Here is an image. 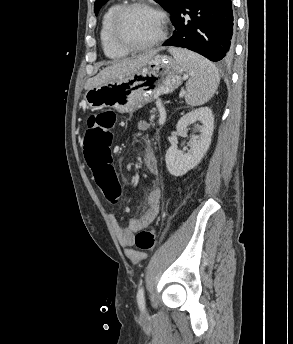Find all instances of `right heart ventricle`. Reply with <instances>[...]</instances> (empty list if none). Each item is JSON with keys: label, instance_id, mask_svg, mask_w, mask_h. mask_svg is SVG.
I'll return each instance as SVG.
<instances>
[{"label": "right heart ventricle", "instance_id": "right-heart-ventricle-1", "mask_svg": "<svg viewBox=\"0 0 293 344\" xmlns=\"http://www.w3.org/2000/svg\"><path fill=\"white\" fill-rule=\"evenodd\" d=\"M122 6L120 2L111 4L104 12L100 26V43L105 56L111 60H121L128 56L129 52L118 47L111 34V25L116 11Z\"/></svg>", "mask_w": 293, "mask_h": 344}]
</instances>
